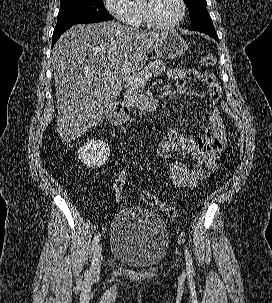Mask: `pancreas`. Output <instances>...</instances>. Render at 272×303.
Instances as JSON below:
<instances>
[{"label": "pancreas", "mask_w": 272, "mask_h": 303, "mask_svg": "<svg viewBox=\"0 0 272 303\" xmlns=\"http://www.w3.org/2000/svg\"><path fill=\"white\" fill-rule=\"evenodd\" d=\"M166 64L163 63L162 60H154L153 62L149 63L142 72H140V75H144L147 72L154 73L155 76L160 75L163 71H165ZM144 97L143 91L141 89V85H127V90L125 92V99L129 102L136 103L140 99Z\"/></svg>", "instance_id": "obj_1"}]
</instances>
